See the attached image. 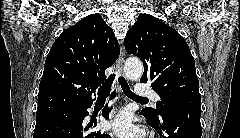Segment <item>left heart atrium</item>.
<instances>
[{"mask_svg":"<svg viewBox=\"0 0 240 138\" xmlns=\"http://www.w3.org/2000/svg\"><path fill=\"white\" fill-rule=\"evenodd\" d=\"M111 129L121 137H128L137 132L131 116L127 112H120L111 122Z\"/></svg>","mask_w":240,"mask_h":138,"instance_id":"1","label":"left heart atrium"}]
</instances>
